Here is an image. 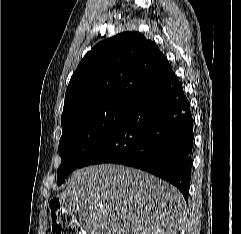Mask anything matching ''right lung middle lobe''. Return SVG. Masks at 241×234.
<instances>
[{
    "mask_svg": "<svg viewBox=\"0 0 241 234\" xmlns=\"http://www.w3.org/2000/svg\"><path fill=\"white\" fill-rule=\"evenodd\" d=\"M132 105L123 101L104 102L80 108L61 119L58 185L80 167L87 154L121 122Z\"/></svg>",
    "mask_w": 241,
    "mask_h": 234,
    "instance_id": "dd1d6c3e",
    "label": "right lung middle lobe"
}]
</instances>
